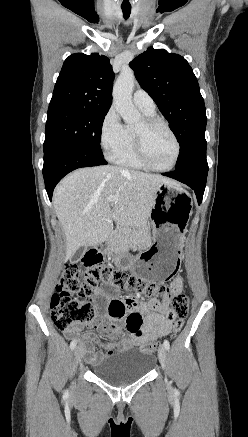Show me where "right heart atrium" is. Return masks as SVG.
<instances>
[{
  "label": "right heart atrium",
  "instance_id": "1",
  "mask_svg": "<svg viewBox=\"0 0 248 437\" xmlns=\"http://www.w3.org/2000/svg\"><path fill=\"white\" fill-rule=\"evenodd\" d=\"M100 145L109 159H115L127 142V130L112 107L105 114L100 125Z\"/></svg>",
  "mask_w": 248,
  "mask_h": 437
}]
</instances>
